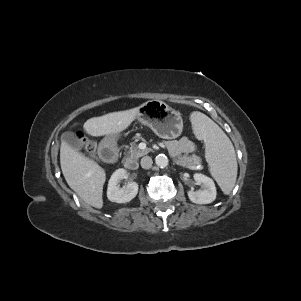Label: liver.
<instances>
[{
	"label": "liver",
	"instance_id": "obj_1",
	"mask_svg": "<svg viewBox=\"0 0 301 301\" xmlns=\"http://www.w3.org/2000/svg\"><path fill=\"white\" fill-rule=\"evenodd\" d=\"M138 114V108L112 112L88 119L83 127L92 136L116 135L126 130ZM60 164L70 188L85 203L101 209L103 207V185L106 180L104 169L64 141L60 148Z\"/></svg>",
	"mask_w": 301,
	"mask_h": 301
}]
</instances>
